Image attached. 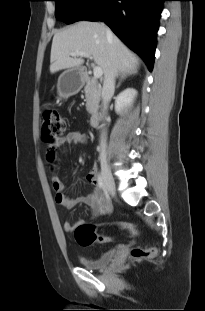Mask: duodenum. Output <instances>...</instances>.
Here are the masks:
<instances>
[{
  "label": "duodenum",
  "mask_w": 205,
  "mask_h": 311,
  "mask_svg": "<svg viewBox=\"0 0 205 311\" xmlns=\"http://www.w3.org/2000/svg\"><path fill=\"white\" fill-rule=\"evenodd\" d=\"M81 75L83 76V78L85 80L89 79L87 69H82L81 70ZM99 121H100V114H99V112H94L91 115V117H90V124H91V126H97L99 124Z\"/></svg>",
  "instance_id": "1"
}]
</instances>
